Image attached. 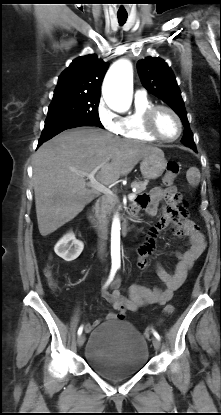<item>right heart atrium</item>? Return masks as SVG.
Wrapping results in <instances>:
<instances>
[{
	"instance_id": "right-heart-atrium-1",
	"label": "right heart atrium",
	"mask_w": 221,
	"mask_h": 415,
	"mask_svg": "<svg viewBox=\"0 0 221 415\" xmlns=\"http://www.w3.org/2000/svg\"><path fill=\"white\" fill-rule=\"evenodd\" d=\"M97 117L105 130L114 134H119L121 129V117L110 109L104 100H100L97 106Z\"/></svg>"
}]
</instances>
